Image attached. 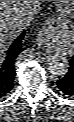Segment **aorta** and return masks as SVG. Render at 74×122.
<instances>
[{"instance_id":"762f6f07","label":"aorta","mask_w":74,"mask_h":122,"mask_svg":"<svg viewBox=\"0 0 74 122\" xmlns=\"http://www.w3.org/2000/svg\"><path fill=\"white\" fill-rule=\"evenodd\" d=\"M69 67V61L64 56L52 55L47 59V69L54 75H65L66 73H68Z\"/></svg>"}]
</instances>
